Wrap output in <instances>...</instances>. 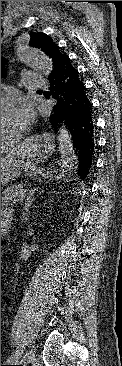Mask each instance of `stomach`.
Masks as SVG:
<instances>
[{"label": "stomach", "mask_w": 122, "mask_h": 366, "mask_svg": "<svg viewBox=\"0 0 122 366\" xmlns=\"http://www.w3.org/2000/svg\"><path fill=\"white\" fill-rule=\"evenodd\" d=\"M37 140L29 142V146H36ZM22 153L13 152L5 156H1V184H7L13 178L18 176L19 167H21Z\"/></svg>", "instance_id": "obj_1"}]
</instances>
